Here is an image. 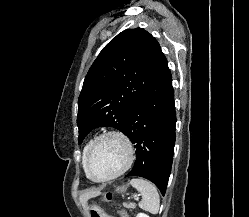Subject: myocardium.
I'll list each match as a JSON object with an SVG mask.
<instances>
[{
    "label": "myocardium",
    "mask_w": 249,
    "mask_h": 217,
    "mask_svg": "<svg viewBox=\"0 0 249 217\" xmlns=\"http://www.w3.org/2000/svg\"><path fill=\"white\" fill-rule=\"evenodd\" d=\"M107 137H117L118 139H120L124 143V145L127 149V158H126V162H125L124 166L120 170H118L117 172H115L114 174H112L108 177L97 178V177L93 176V174L90 171L89 160H90V156H91L95 146L97 145V143L100 142L101 140L107 138ZM134 158H135V149H134V146H133L131 139L124 132H122L120 130H107V131H104L103 133L99 134L98 136H96L91 141V143L88 147V150L86 152V155H85L84 169H85L87 176L91 180H93L95 182H109V181H112V180L120 177L125 172H127L129 170V168L132 166Z\"/></svg>",
    "instance_id": "myocardium-1"
}]
</instances>
